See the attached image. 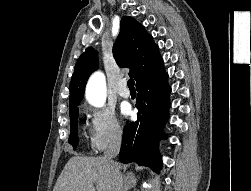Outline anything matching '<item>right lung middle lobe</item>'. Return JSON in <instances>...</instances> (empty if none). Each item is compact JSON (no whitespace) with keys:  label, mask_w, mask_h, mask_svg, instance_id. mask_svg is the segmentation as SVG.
Segmentation results:
<instances>
[{"label":"right lung middle lobe","mask_w":251,"mask_h":191,"mask_svg":"<svg viewBox=\"0 0 251 191\" xmlns=\"http://www.w3.org/2000/svg\"><path fill=\"white\" fill-rule=\"evenodd\" d=\"M70 126L71 132L69 136V143L76 149L78 145V133H77V119H78V108L77 106L69 107Z\"/></svg>","instance_id":"1"}]
</instances>
